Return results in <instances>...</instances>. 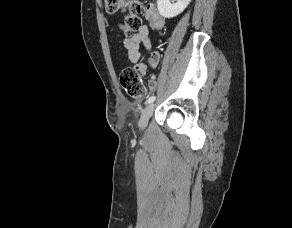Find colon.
<instances>
[{
    "label": "colon",
    "instance_id": "obj_1",
    "mask_svg": "<svg viewBox=\"0 0 292 228\" xmlns=\"http://www.w3.org/2000/svg\"><path fill=\"white\" fill-rule=\"evenodd\" d=\"M105 8L108 13H126L122 29L126 35H132L142 27V13H147L153 28L163 25L161 16L152 12L150 5L140 0H105ZM153 57L151 58V62ZM120 84L133 98L142 99L146 95V87L142 81V75L135 67L125 68L120 74Z\"/></svg>",
    "mask_w": 292,
    "mask_h": 228
}]
</instances>
